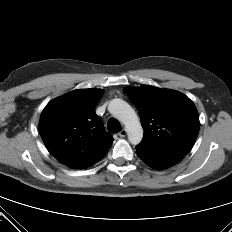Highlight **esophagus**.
I'll list each match as a JSON object with an SVG mask.
<instances>
[{"instance_id": "obj_1", "label": "esophagus", "mask_w": 232, "mask_h": 232, "mask_svg": "<svg viewBox=\"0 0 232 232\" xmlns=\"http://www.w3.org/2000/svg\"><path fill=\"white\" fill-rule=\"evenodd\" d=\"M126 134H127V130H126V129H123V130H121V131L118 133V135H119L120 137H125Z\"/></svg>"}]
</instances>
